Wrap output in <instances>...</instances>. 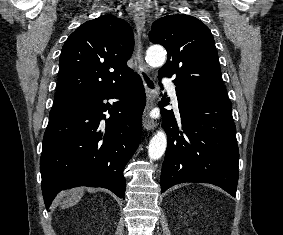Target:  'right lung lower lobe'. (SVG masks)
<instances>
[{
	"mask_svg": "<svg viewBox=\"0 0 283 235\" xmlns=\"http://www.w3.org/2000/svg\"><path fill=\"white\" fill-rule=\"evenodd\" d=\"M145 102L142 80L135 75L80 99L67 113L49 120L40 159L47 209L58 192L76 186L103 187L124 198L123 170L140 142Z\"/></svg>",
	"mask_w": 283,
	"mask_h": 235,
	"instance_id": "obj_1",
	"label": "right lung lower lobe"
}]
</instances>
